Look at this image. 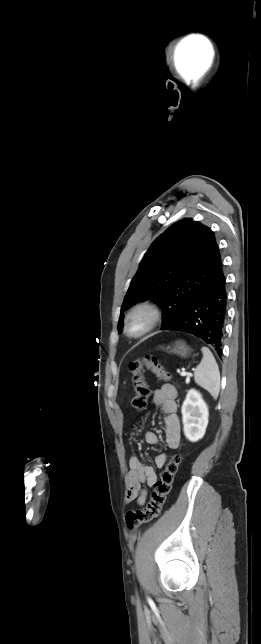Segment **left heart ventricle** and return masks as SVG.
<instances>
[{"label":"left heart ventricle","mask_w":261,"mask_h":644,"mask_svg":"<svg viewBox=\"0 0 261 644\" xmlns=\"http://www.w3.org/2000/svg\"><path fill=\"white\" fill-rule=\"evenodd\" d=\"M145 322L144 316L140 315L137 316L134 321H133V329L137 330L139 329Z\"/></svg>","instance_id":"b2bd125f"}]
</instances>
